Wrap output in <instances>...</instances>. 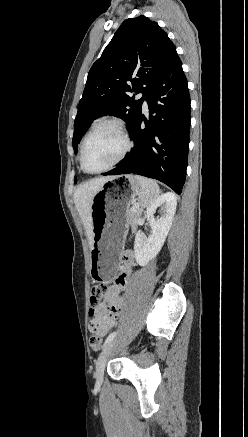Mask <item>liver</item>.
I'll use <instances>...</instances> for the list:
<instances>
[{
  "instance_id": "obj_1",
  "label": "liver",
  "mask_w": 248,
  "mask_h": 437,
  "mask_svg": "<svg viewBox=\"0 0 248 437\" xmlns=\"http://www.w3.org/2000/svg\"><path fill=\"white\" fill-rule=\"evenodd\" d=\"M111 177H99L92 179L88 182L80 184L74 191L73 199L75 206L79 212L81 220L86 229L87 237L89 240L90 248L93 245V234H92V199L93 196L101 189V187L110 179Z\"/></svg>"
}]
</instances>
